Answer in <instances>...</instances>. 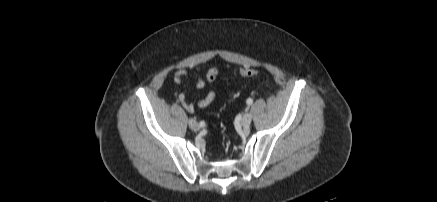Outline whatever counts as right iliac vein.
I'll return each mask as SVG.
<instances>
[{
	"instance_id": "1",
	"label": "right iliac vein",
	"mask_w": 437,
	"mask_h": 202,
	"mask_svg": "<svg viewBox=\"0 0 437 202\" xmlns=\"http://www.w3.org/2000/svg\"><path fill=\"white\" fill-rule=\"evenodd\" d=\"M189 127L194 131H198L200 129V125L194 119L189 120Z\"/></svg>"
}]
</instances>
